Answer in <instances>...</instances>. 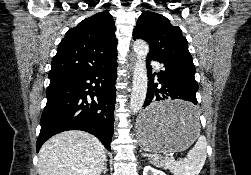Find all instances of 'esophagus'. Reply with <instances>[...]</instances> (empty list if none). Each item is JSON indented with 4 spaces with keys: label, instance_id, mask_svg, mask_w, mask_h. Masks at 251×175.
Masks as SVG:
<instances>
[{
    "label": "esophagus",
    "instance_id": "esophagus-1",
    "mask_svg": "<svg viewBox=\"0 0 251 175\" xmlns=\"http://www.w3.org/2000/svg\"><path fill=\"white\" fill-rule=\"evenodd\" d=\"M135 61H136V59H135V56L133 55L132 59H131V63H130L131 70L134 69Z\"/></svg>",
    "mask_w": 251,
    "mask_h": 175
}]
</instances>
